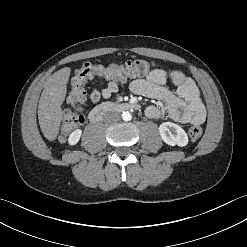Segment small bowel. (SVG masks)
<instances>
[{"label":"small bowel","instance_id":"small-bowel-1","mask_svg":"<svg viewBox=\"0 0 247 247\" xmlns=\"http://www.w3.org/2000/svg\"><path fill=\"white\" fill-rule=\"evenodd\" d=\"M171 83L176 88V94L165 86ZM100 88L93 89L91 101L97 103L110 97L119 90L121 80H110L106 85L100 83ZM130 90L165 105L171 119L183 124H202L206 118V110L200 99L199 90L195 82L183 71L178 69H154L145 77L131 81ZM72 96H68L66 103L73 104ZM145 114L149 119L156 120L162 114L158 105H149Z\"/></svg>","mask_w":247,"mask_h":247}]
</instances>
